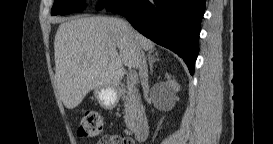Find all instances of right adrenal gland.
<instances>
[{"label":"right adrenal gland","mask_w":273,"mask_h":144,"mask_svg":"<svg viewBox=\"0 0 273 144\" xmlns=\"http://www.w3.org/2000/svg\"><path fill=\"white\" fill-rule=\"evenodd\" d=\"M155 50H150L147 54V59H148V63H149V67H150V74L152 75L153 73V64L158 61V58H155V55H158L157 52H155L154 55H152V53H154Z\"/></svg>","instance_id":"2a0ac1e0"}]
</instances>
